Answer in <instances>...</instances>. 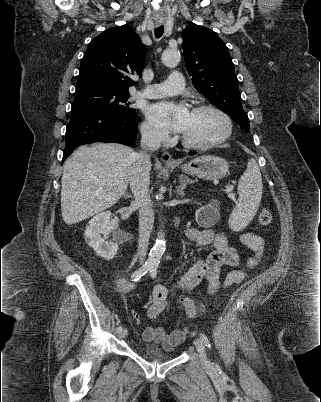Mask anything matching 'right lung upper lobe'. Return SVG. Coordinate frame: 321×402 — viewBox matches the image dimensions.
<instances>
[{
	"instance_id": "cb5924a9",
	"label": "right lung upper lobe",
	"mask_w": 321,
	"mask_h": 402,
	"mask_svg": "<svg viewBox=\"0 0 321 402\" xmlns=\"http://www.w3.org/2000/svg\"><path fill=\"white\" fill-rule=\"evenodd\" d=\"M146 48L129 25L103 31L89 44L80 65L77 85L102 84L128 91L131 75L141 76Z\"/></svg>"
}]
</instances>
